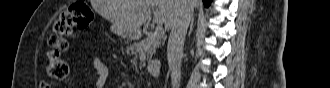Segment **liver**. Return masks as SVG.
I'll return each mask as SVG.
<instances>
[{"label":"liver","mask_w":330,"mask_h":88,"mask_svg":"<svg viewBox=\"0 0 330 88\" xmlns=\"http://www.w3.org/2000/svg\"><path fill=\"white\" fill-rule=\"evenodd\" d=\"M190 1L193 8L200 3L199 0ZM93 3L96 11L109 20L120 35L137 31L150 18L154 7L153 22L164 24L169 30L181 7V0H94Z\"/></svg>","instance_id":"6515ba94"}]
</instances>
